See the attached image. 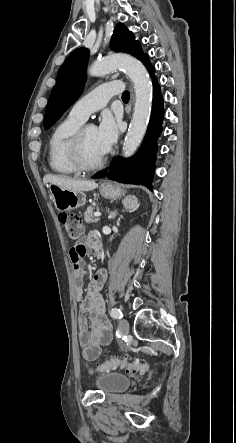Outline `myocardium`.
I'll use <instances>...</instances> for the list:
<instances>
[{
    "label": "myocardium",
    "instance_id": "1",
    "mask_svg": "<svg viewBox=\"0 0 236 443\" xmlns=\"http://www.w3.org/2000/svg\"><path fill=\"white\" fill-rule=\"evenodd\" d=\"M90 126H93L91 124H82L72 135L69 143H68V157L71 162V164L74 166V168L79 172H92L97 169H99L105 159L106 156L103 154L101 157H99L95 162L93 163H87L83 158L82 153V142H83V136L86 131V129Z\"/></svg>",
    "mask_w": 236,
    "mask_h": 443
}]
</instances>
